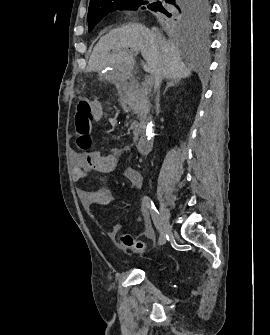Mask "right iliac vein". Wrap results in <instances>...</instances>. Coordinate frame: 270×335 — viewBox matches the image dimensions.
<instances>
[{
  "mask_svg": "<svg viewBox=\"0 0 270 335\" xmlns=\"http://www.w3.org/2000/svg\"><path fill=\"white\" fill-rule=\"evenodd\" d=\"M160 213H161V221L165 231H170L171 224H170V214L169 210L166 207L165 203H160Z\"/></svg>",
  "mask_w": 270,
  "mask_h": 335,
  "instance_id": "right-iliac-vein-1",
  "label": "right iliac vein"
}]
</instances>
